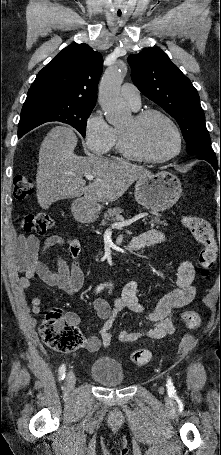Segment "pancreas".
<instances>
[{
    "label": "pancreas",
    "mask_w": 221,
    "mask_h": 455,
    "mask_svg": "<svg viewBox=\"0 0 221 455\" xmlns=\"http://www.w3.org/2000/svg\"><path fill=\"white\" fill-rule=\"evenodd\" d=\"M123 212V209L120 207H115L113 209H108L104 215L103 220L100 223V226H105L108 224L109 221H121L123 217L120 215ZM165 221H161L157 216L150 217V224H163Z\"/></svg>",
    "instance_id": "obj_1"
}]
</instances>
